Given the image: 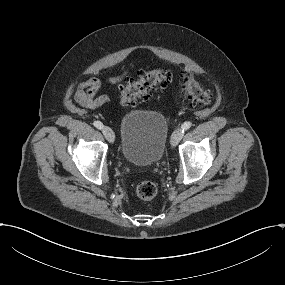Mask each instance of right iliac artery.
Instances as JSON below:
<instances>
[{
  "label": "right iliac artery",
  "instance_id": "obj_1",
  "mask_svg": "<svg viewBox=\"0 0 285 285\" xmlns=\"http://www.w3.org/2000/svg\"><path fill=\"white\" fill-rule=\"evenodd\" d=\"M94 126L100 130L103 129V127H104L100 121H95Z\"/></svg>",
  "mask_w": 285,
  "mask_h": 285
}]
</instances>
